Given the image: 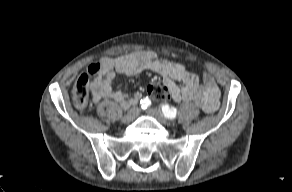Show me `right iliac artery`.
Returning <instances> with one entry per match:
<instances>
[{
    "label": "right iliac artery",
    "instance_id": "1",
    "mask_svg": "<svg viewBox=\"0 0 292 192\" xmlns=\"http://www.w3.org/2000/svg\"><path fill=\"white\" fill-rule=\"evenodd\" d=\"M140 104H141V107L145 109L151 105V101L148 98H143L141 99Z\"/></svg>",
    "mask_w": 292,
    "mask_h": 192
}]
</instances>
